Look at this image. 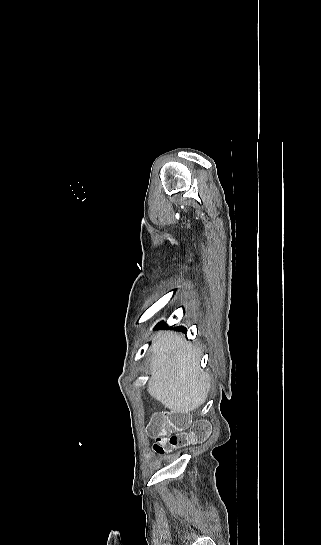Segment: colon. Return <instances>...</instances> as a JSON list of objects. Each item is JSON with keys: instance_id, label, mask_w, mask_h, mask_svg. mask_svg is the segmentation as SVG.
Wrapping results in <instances>:
<instances>
[{"instance_id": "5ec220e1", "label": "colon", "mask_w": 321, "mask_h": 545, "mask_svg": "<svg viewBox=\"0 0 321 545\" xmlns=\"http://www.w3.org/2000/svg\"><path fill=\"white\" fill-rule=\"evenodd\" d=\"M189 416L184 412H157L151 416L148 434L154 439L153 449L158 454L204 441L210 434V425L198 421L189 431Z\"/></svg>"}]
</instances>
